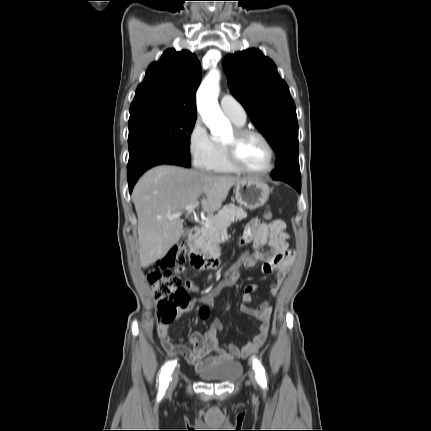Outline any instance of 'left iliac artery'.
Here are the masks:
<instances>
[{
  "label": "left iliac artery",
  "mask_w": 431,
  "mask_h": 431,
  "mask_svg": "<svg viewBox=\"0 0 431 431\" xmlns=\"http://www.w3.org/2000/svg\"><path fill=\"white\" fill-rule=\"evenodd\" d=\"M253 369L256 373L257 382L262 387H266L267 386V380H266V376H265V370H264L261 362L256 358L253 359Z\"/></svg>",
  "instance_id": "44dca946"
}]
</instances>
